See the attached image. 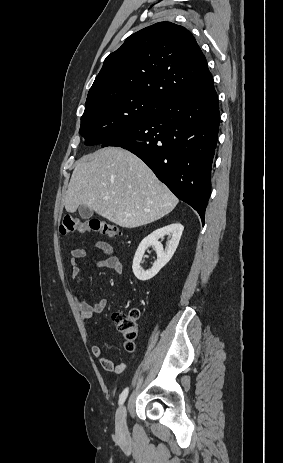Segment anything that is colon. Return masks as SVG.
<instances>
[{
    "label": "colon",
    "mask_w": 283,
    "mask_h": 463,
    "mask_svg": "<svg viewBox=\"0 0 283 463\" xmlns=\"http://www.w3.org/2000/svg\"><path fill=\"white\" fill-rule=\"evenodd\" d=\"M62 234L72 232H96L109 238H115L119 235L118 228L99 218H78L71 215H65L60 225ZM140 311L137 308L129 309L127 312H116L113 314V320L124 340L126 350H133V342L138 335V319Z\"/></svg>",
    "instance_id": "obj_1"
}]
</instances>
